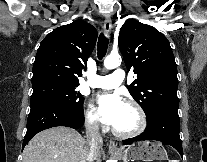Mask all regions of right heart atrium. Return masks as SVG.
<instances>
[{
    "mask_svg": "<svg viewBox=\"0 0 207 162\" xmlns=\"http://www.w3.org/2000/svg\"><path fill=\"white\" fill-rule=\"evenodd\" d=\"M85 122L91 128L96 129L100 127V120L97 111L92 104H89L85 111Z\"/></svg>",
    "mask_w": 207,
    "mask_h": 162,
    "instance_id": "1",
    "label": "right heart atrium"
}]
</instances>
